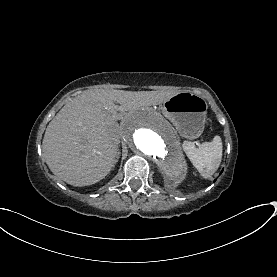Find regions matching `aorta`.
Segmentation results:
<instances>
[{
  "mask_svg": "<svg viewBox=\"0 0 277 277\" xmlns=\"http://www.w3.org/2000/svg\"><path fill=\"white\" fill-rule=\"evenodd\" d=\"M124 140L137 155L155 165L167 179L179 180L187 167L179 139L172 126L158 113L141 110L125 124Z\"/></svg>",
  "mask_w": 277,
  "mask_h": 277,
  "instance_id": "aorta-1",
  "label": "aorta"
}]
</instances>
